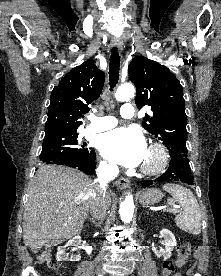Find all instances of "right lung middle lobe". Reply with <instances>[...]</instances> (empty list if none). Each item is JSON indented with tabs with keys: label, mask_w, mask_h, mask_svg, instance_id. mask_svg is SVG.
Returning a JSON list of instances; mask_svg holds the SVG:
<instances>
[{
	"label": "right lung middle lobe",
	"mask_w": 221,
	"mask_h": 276,
	"mask_svg": "<svg viewBox=\"0 0 221 276\" xmlns=\"http://www.w3.org/2000/svg\"><path fill=\"white\" fill-rule=\"evenodd\" d=\"M78 134L74 132H56L45 134L40 160L43 163L70 159L87 158L94 150L84 148L77 142Z\"/></svg>",
	"instance_id": "1"
}]
</instances>
